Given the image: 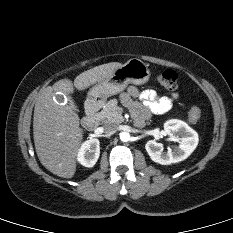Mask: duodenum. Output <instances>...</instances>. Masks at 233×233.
<instances>
[{"label": "duodenum", "mask_w": 233, "mask_h": 233, "mask_svg": "<svg viewBox=\"0 0 233 233\" xmlns=\"http://www.w3.org/2000/svg\"><path fill=\"white\" fill-rule=\"evenodd\" d=\"M103 105V100L100 98L90 99L86 103L85 114L81 120L82 126L87 130H92L98 122V111Z\"/></svg>", "instance_id": "1"}]
</instances>
